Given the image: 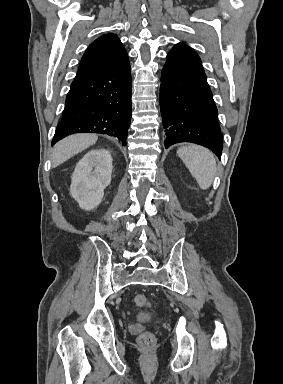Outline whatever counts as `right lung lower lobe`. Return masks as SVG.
Instances as JSON below:
<instances>
[{
  "label": "right lung lower lobe",
  "instance_id": "1",
  "mask_svg": "<svg viewBox=\"0 0 283 384\" xmlns=\"http://www.w3.org/2000/svg\"><path fill=\"white\" fill-rule=\"evenodd\" d=\"M131 113L129 62L116 70L75 79L52 145L74 133L108 134L126 145Z\"/></svg>",
  "mask_w": 283,
  "mask_h": 384
}]
</instances>
